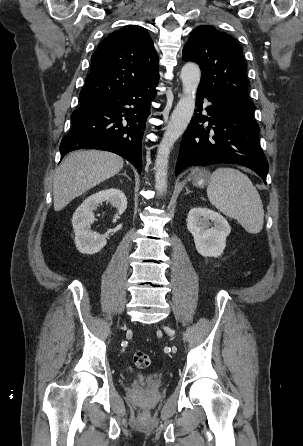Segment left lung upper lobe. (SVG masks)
Masks as SVG:
<instances>
[{"mask_svg":"<svg viewBox=\"0 0 303 446\" xmlns=\"http://www.w3.org/2000/svg\"><path fill=\"white\" fill-rule=\"evenodd\" d=\"M182 59L200 65V88L222 93L254 114L255 106L248 97L243 50L231 35L212 26H199L186 42Z\"/></svg>","mask_w":303,"mask_h":446,"instance_id":"5c2ea615","label":"left lung upper lobe"}]
</instances>
